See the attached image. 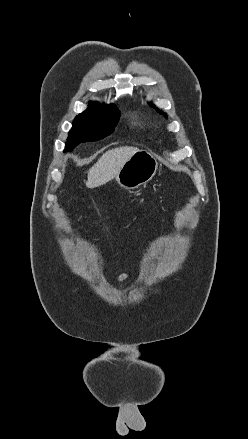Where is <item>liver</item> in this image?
I'll list each match as a JSON object with an SVG mask.
<instances>
[{
    "mask_svg": "<svg viewBox=\"0 0 248 439\" xmlns=\"http://www.w3.org/2000/svg\"><path fill=\"white\" fill-rule=\"evenodd\" d=\"M139 150L132 146H122L104 153L89 169L86 186L96 188L114 179L130 157Z\"/></svg>",
    "mask_w": 248,
    "mask_h": 439,
    "instance_id": "obj_1",
    "label": "liver"
}]
</instances>
